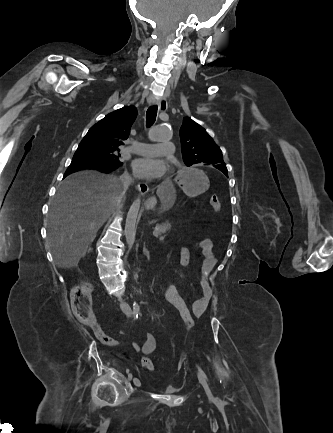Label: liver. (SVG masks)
<instances>
[{
	"instance_id": "6515ba94",
	"label": "liver",
	"mask_w": 333,
	"mask_h": 433,
	"mask_svg": "<svg viewBox=\"0 0 333 433\" xmlns=\"http://www.w3.org/2000/svg\"><path fill=\"white\" fill-rule=\"evenodd\" d=\"M172 183H160V212L169 210L177 194ZM119 180L95 170L73 173L61 182L50 202L48 243L61 268L76 267L99 228L122 200Z\"/></svg>"
}]
</instances>
